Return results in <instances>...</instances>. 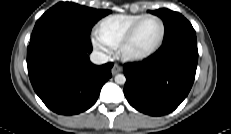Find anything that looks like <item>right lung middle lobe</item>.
<instances>
[{
  "mask_svg": "<svg viewBox=\"0 0 231 134\" xmlns=\"http://www.w3.org/2000/svg\"><path fill=\"white\" fill-rule=\"evenodd\" d=\"M110 13L109 10L93 9L72 2H59L37 20L33 32L56 24L74 28L88 36L92 26Z\"/></svg>",
  "mask_w": 231,
  "mask_h": 134,
  "instance_id": "obj_1",
  "label": "right lung middle lobe"
}]
</instances>
